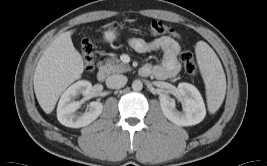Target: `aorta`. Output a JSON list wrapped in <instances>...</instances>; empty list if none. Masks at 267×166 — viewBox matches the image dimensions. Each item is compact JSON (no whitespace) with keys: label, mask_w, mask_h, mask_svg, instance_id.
<instances>
[{"label":"aorta","mask_w":267,"mask_h":166,"mask_svg":"<svg viewBox=\"0 0 267 166\" xmlns=\"http://www.w3.org/2000/svg\"><path fill=\"white\" fill-rule=\"evenodd\" d=\"M142 88H143V84H142V82L140 80L133 81L132 89L134 91H140V90H142Z\"/></svg>","instance_id":"1"}]
</instances>
